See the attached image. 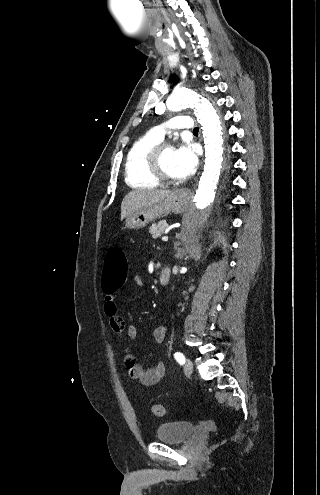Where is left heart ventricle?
<instances>
[{"label": "left heart ventricle", "instance_id": "obj_1", "mask_svg": "<svg viewBox=\"0 0 320 495\" xmlns=\"http://www.w3.org/2000/svg\"><path fill=\"white\" fill-rule=\"evenodd\" d=\"M174 154L175 148H166L161 157V164L163 170L171 177H177V173L174 166Z\"/></svg>", "mask_w": 320, "mask_h": 495}]
</instances>
